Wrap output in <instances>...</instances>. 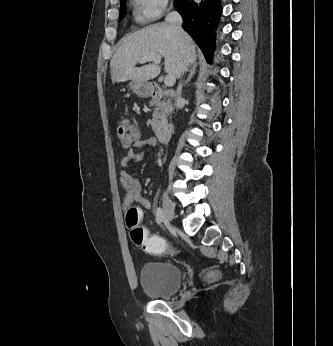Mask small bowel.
<instances>
[{
  "label": "small bowel",
  "mask_w": 333,
  "mask_h": 346,
  "mask_svg": "<svg viewBox=\"0 0 333 346\" xmlns=\"http://www.w3.org/2000/svg\"><path fill=\"white\" fill-rule=\"evenodd\" d=\"M156 145L157 141L155 138L138 140L134 145V148L130 149L126 156L122 159V166L127 167L142 161L145 158L146 153L144 151H138V149L144 146ZM120 181L126 190V205L129 206V204L132 202H138L146 209L151 208L150 201L141 194L142 185L137 178H135L130 172L123 170L120 174Z\"/></svg>",
  "instance_id": "1"
}]
</instances>
